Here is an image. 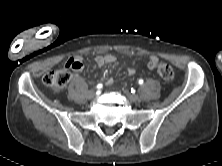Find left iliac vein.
Wrapping results in <instances>:
<instances>
[{"mask_svg": "<svg viewBox=\"0 0 222 166\" xmlns=\"http://www.w3.org/2000/svg\"><path fill=\"white\" fill-rule=\"evenodd\" d=\"M124 94L131 102H137L139 100V97L136 94H133L128 90H125Z\"/></svg>", "mask_w": 222, "mask_h": 166, "instance_id": "obj_1", "label": "left iliac vein"}]
</instances>
